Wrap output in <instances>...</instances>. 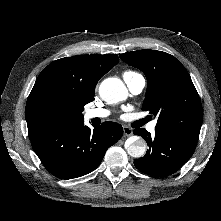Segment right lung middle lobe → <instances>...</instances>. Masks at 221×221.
I'll list each match as a JSON object with an SVG mask.
<instances>
[{
    "label": "right lung middle lobe",
    "instance_id": "dd1d6c3e",
    "mask_svg": "<svg viewBox=\"0 0 221 221\" xmlns=\"http://www.w3.org/2000/svg\"><path fill=\"white\" fill-rule=\"evenodd\" d=\"M54 121L56 125H66L75 123L74 118L68 111L62 107H58L54 111Z\"/></svg>",
    "mask_w": 221,
    "mask_h": 221
}]
</instances>
